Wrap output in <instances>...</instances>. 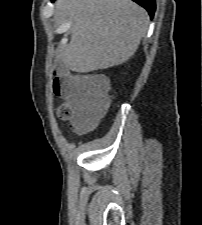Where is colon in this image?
Masks as SVG:
<instances>
[{
  "label": "colon",
  "mask_w": 202,
  "mask_h": 225,
  "mask_svg": "<svg viewBox=\"0 0 202 225\" xmlns=\"http://www.w3.org/2000/svg\"><path fill=\"white\" fill-rule=\"evenodd\" d=\"M109 89L105 81L91 75L59 77L55 74L54 92L58 95L71 93L82 97L91 116L99 115L106 110L110 102ZM57 116L60 120L68 121L72 118L73 111L71 107L63 104L58 107Z\"/></svg>",
  "instance_id": "obj_1"
}]
</instances>
